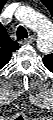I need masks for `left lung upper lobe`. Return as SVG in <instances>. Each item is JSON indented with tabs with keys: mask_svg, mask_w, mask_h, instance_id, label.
Here are the masks:
<instances>
[{
	"mask_svg": "<svg viewBox=\"0 0 53 120\" xmlns=\"http://www.w3.org/2000/svg\"><path fill=\"white\" fill-rule=\"evenodd\" d=\"M45 5L48 6V3L47 1L45 0H41ZM43 61H44V64L47 68H50L52 66V63H53V60H52V55H45L44 58H43Z\"/></svg>",
	"mask_w": 53,
	"mask_h": 120,
	"instance_id": "1",
	"label": "left lung upper lobe"
}]
</instances>
